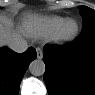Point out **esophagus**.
<instances>
[{
  "label": "esophagus",
  "instance_id": "34e87169",
  "mask_svg": "<svg viewBox=\"0 0 95 95\" xmlns=\"http://www.w3.org/2000/svg\"><path fill=\"white\" fill-rule=\"evenodd\" d=\"M36 52H37V58L38 59H42L43 58V51L41 48H36Z\"/></svg>",
  "mask_w": 95,
  "mask_h": 95
}]
</instances>
